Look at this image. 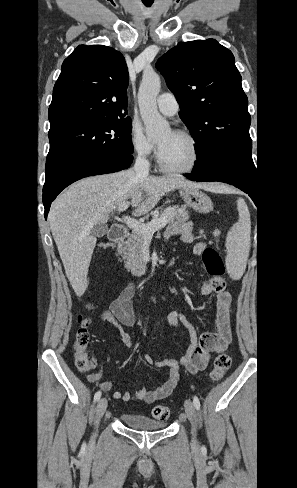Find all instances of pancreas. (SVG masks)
<instances>
[{"label": "pancreas", "mask_w": 297, "mask_h": 488, "mask_svg": "<svg viewBox=\"0 0 297 488\" xmlns=\"http://www.w3.org/2000/svg\"><path fill=\"white\" fill-rule=\"evenodd\" d=\"M165 212L168 213L169 222L172 224H183L190 218L188 211L184 207H169V210H165ZM156 213L157 211L153 214ZM144 240L145 237L142 234L132 231L127 241L118 245V252L124 259L126 268L132 272H138L145 267L142 260Z\"/></svg>", "instance_id": "pancreas-1"}]
</instances>
